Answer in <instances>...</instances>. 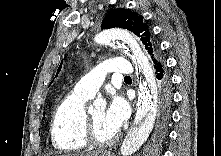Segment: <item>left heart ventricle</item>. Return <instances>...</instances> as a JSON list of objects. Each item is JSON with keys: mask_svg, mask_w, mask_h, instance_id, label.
<instances>
[{"mask_svg": "<svg viewBox=\"0 0 221 156\" xmlns=\"http://www.w3.org/2000/svg\"><path fill=\"white\" fill-rule=\"evenodd\" d=\"M105 112V109L99 108L90 113L95 133L101 140H107L115 134V132L112 131L105 122Z\"/></svg>", "mask_w": 221, "mask_h": 156, "instance_id": "b2bd125f", "label": "left heart ventricle"}]
</instances>
